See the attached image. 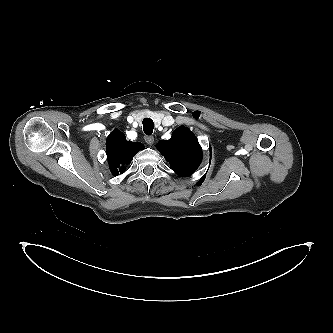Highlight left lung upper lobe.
Wrapping results in <instances>:
<instances>
[{
	"label": "left lung upper lobe",
	"instance_id": "obj_1",
	"mask_svg": "<svg viewBox=\"0 0 333 333\" xmlns=\"http://www.w3.org/2000/svg\"><path fill=\"white\" fill-rule=\"evenodd\" d=\"M156 147L170 163L171 169L181 177L194 173L202 160L197 138L184 126L177 128L169 140L159 141Z\"/></svg>",
	"mask_w": 333,
	"mask_h": 333
}]
</instances>
